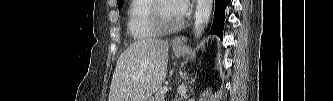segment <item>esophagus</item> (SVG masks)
I'll list each match as a JSON object with an SVG mask.
<instances>
[{"label": "esophagus", "instance_id": "esophagus-1", "mask_svg": "<svg viewBox=\"0 0 333 101\" xmlns=\"http://www.w3.org/2000/svg\"><path fill=\"white\" fill-rule=\"evenodd\" d=\"M187 41V38L185 36H178L173 39L172 43L175 46L181 47L184 45V43Z\"/></svg>", "mask_w": 333, "mask_h": 101}]
</instances>
